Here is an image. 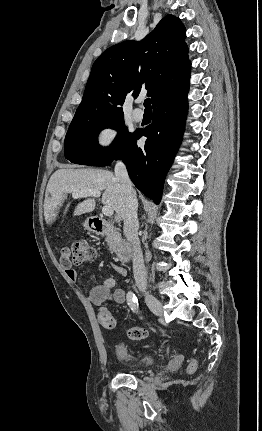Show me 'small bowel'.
<instances>
[{"label": "small bowel", "mask_w": 262, "mask_h": 431, "mask_svg": "<svg viewBox=\"0 0 262 431\" xmlns=\"http://www.w3.org/2000/svg\"><path fill=\"white\" fill-rule=\"evenodd\" d=\"M61 265L68 279L71 282H77L79 279L78 271L72 266L71 262L63 259ZM115 271L122 277L127 276V269L119 264H113ZM115 278H107L102 282L92 286L88 291V300L100 311L105 310L104 304L111 301L115 304L121 305L127 301V294L121 288H115ZM178 361H183V356L178 357Z\"/></svg>", "instance_id": "obj_1"}]
</instances>
